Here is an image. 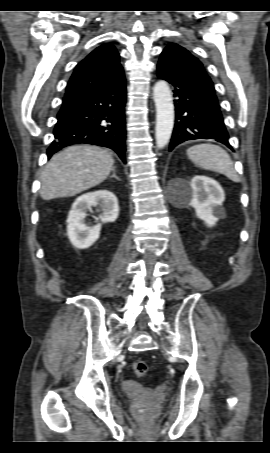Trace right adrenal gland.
Instances as JSON below:
<instances>
[{
    "instance_id": "obj_1",
    "label": "right adrenal gland",
    "mask_w": 270,
    "mask_h": 453,
    "mask_svg": "<svg viewBox=\"0 0 270 453\" xmlns=\"http://www.w3.org/2000/svg\"><path fill=\"white\" fill-rule=\"evenodd\" d=\"M110 178H115L116 180L120 181V178L116 175L115 169H113V174L110 176Z\"/></svg>"
}]
</instances>
